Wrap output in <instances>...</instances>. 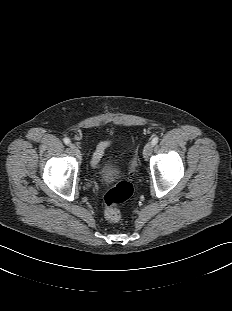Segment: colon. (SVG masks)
<instances>
[{
  "label": "colon",
  "mask_w": 232,
  "mask_h": 311,
  "mask_svg": "<svg viewBox=\"0 0 232 311\" xmlns=\"http://www.w3.org/2000/svg\"><path fill=\"white\" fill-rule=\"evenodd\" d=\"M137 167V160L133 159L129 165V171L132 173ZM133 193V185L129 178L119 181L113 188L104 195V217L109 222H118L121 218L119 205L127 201Z\"/></svg>",
  "instance_id": "obj_1"
}]
</instances>
